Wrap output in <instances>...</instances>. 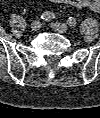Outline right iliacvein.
Segmentation results:
<instances>
[{"label":"right iliac vein","mask_w":100,"mask_h":118,"mask_svg":"<svg viewBox=\"0 0 100 118\" xmlns=\"http://www.w3.org/2000/svg\"><path fill=\"white\" fill-rule=\"evenodd\" d=\"M41 28V22L39 20L33 21L30 25V29L34 32Z\"/></svg>","instance_id":"obj_1"}]
</instances>
